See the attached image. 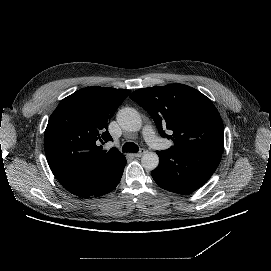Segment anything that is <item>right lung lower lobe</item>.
<instances>
[{
	"mask_svg": "<svg viewBox=\"0 0 271 271\" xmlns=\"http://www.w3.org/2000/svg\"><path fill=\"white\" fill-rule=\"evenodd\" d=\"M125 165H126V159L123 162V166L118 170V172L116 174H114L111 177V179H109L107 182H105L103 184H100L98 187H96L92 190L77 191L72 194L77 195L82 198H90V197L102 196V195H105V194L111 192L120 182Z\"/></svg>",
	"mask_w": 271,
	"mask_h": 271,
	"instance_id": "obj_1",
	"label": "right lung lower lobe"
}]
</instances>
